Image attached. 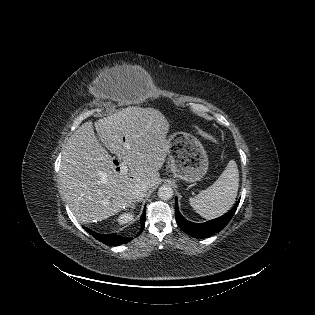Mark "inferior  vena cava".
<instances>
[{"label": "inferior vena cava", "mask_w": 315, "mask_h": 315, "mask_svg": "<svg viewBox=\"0 0 315 315\" xmlns=\"http://www.w3.org/2000/svg\"><path fill=\"white\" fill-rule=\"evenodd\" d=\"M149 188H150L149 184L146 182L138 184L133 191L134 199L138 200L142 199L145 196L147 190H149Z\"/></svg>", "instance_id": "inferior-vena-cava-1"}]
</instances>
